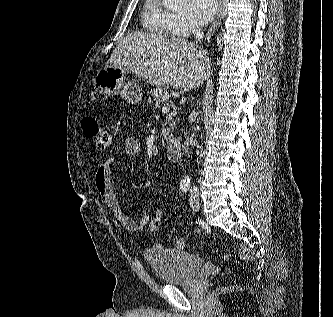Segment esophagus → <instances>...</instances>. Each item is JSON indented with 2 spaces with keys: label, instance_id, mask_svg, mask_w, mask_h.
<instances>
[{
  "label": "esophagus",
  "instance_id": "34e87169",
  "mask_svg": "<svg viewBox=\"0 0 333 317\" xmlns=\"http://www.w3.org/2000/svg\"><path fill=\"white\" fill-rule=\"evenodd\" d=\"M222 17H223V0H219L218 13L207 31L206 38H205L206 42H208L210 40V38L212 37L213 33L219 26Z\"/></svg>",
  "mask_w": 333,
  "mask_h": 317
}]
</instances>
